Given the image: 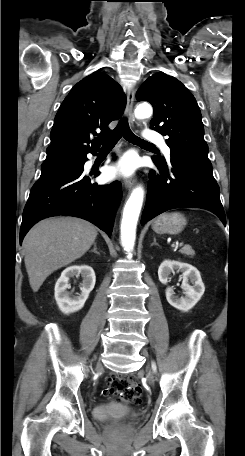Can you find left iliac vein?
Returning <instances> with one entry per match:
<instances>
[{"label":"left iliac vein","instance_id":"4c4485c4","mask_svg":"<svg viewBox=\"0 0 245 456\" xmlns=\"http://www.w3.org/2000/svg\"><path fill=\"white\" fill-rule=\"evenodd\" d=\"M143 354H144L145 356H147V353H146V352H144ZM147 377H148V379H149V382H150V383H153V376H152V374H151L150 372L148 373Z\"/></svg>","mask_w":245,"mask_h":456}]
</instances>
